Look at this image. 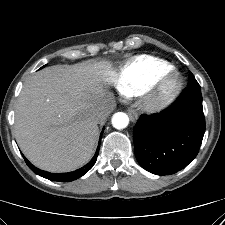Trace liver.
Segmentation results:
<instances>
[{"mask_svg":"<svg viewBox=\"0 0 225 225\" xmlns=\"http://www.w3.org/2000/svg\"><path fill=\"white\" fill-rule=\"evenodd\" d=\"M116 72L108 61L55 65L31 76L15 110V136L26 158L49 172L86 164L99 128L94 115L110 99Z\"/></svg>","mask_w":225,"mask_h":225,"instance_id":"6515ba94","label":"liver"}]
</instances>
